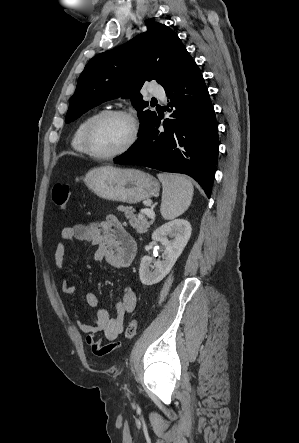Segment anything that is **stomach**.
Here are the masks:
<instances>
[{
	"mask_svg": "<svg viewBox=\"0 0 299 443\" xmlns=\"http://www.w3.org/2000/svg\"><path fill=\"white\" fill-rule=\"evenodd\" d=\"M87 187L103 199L135 204L159 193L160 185L150 174L133 168L103 166L85 176Z\"/></svg>",
	"mask_w": 299,
	"mask_h": 443,
	"instance_id": "1",
	"label": "stomach"
}]
</instances>
